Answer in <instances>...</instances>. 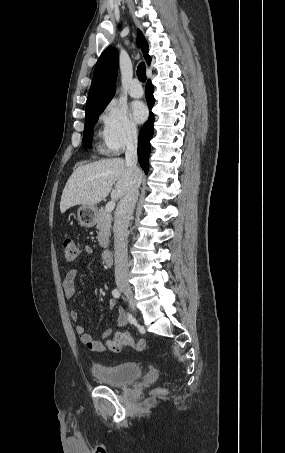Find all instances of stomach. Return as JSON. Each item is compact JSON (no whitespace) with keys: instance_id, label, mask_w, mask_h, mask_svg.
Here are the masks:
<instances>
[{"instance_id":"obj_1","label":"stomach","mask_w":285,"mask_h":453,"mask_svg":"<svg viewBox=\"0 0 285 453\" xmlns=\"http://www.w3.org/2000/svg\"><path fill=\"white\" fill-rule=\"evenodd\" d=\"M97 211L95 207L82 205L77 211L78 222L82 227L90 228L96 223Z\"/></svg>"}]
</instances>
